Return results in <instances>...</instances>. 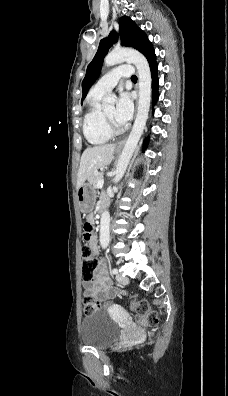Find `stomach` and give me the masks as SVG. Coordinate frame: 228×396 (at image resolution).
Returning <instances> with one entry per match:
<instances>
[{
  "label": "stomach",
  "mask_w": 228,
  "mask_h": 396,
  "mask_svg": "<svg viewBox=\"0 0 228 396\" xmlns=\"http://www.w3.org/2000/svg\"><path fill=\"white\" fill-rule=\"evenodd\" d=\"M79 207L83 213H90L95 205L96 191L90 183H84L77 189Z\"/></svg>",
  "instance_id": "obj_1"
}]
</instances>
